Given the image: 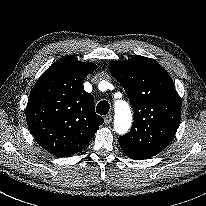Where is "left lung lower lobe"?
I'll list each match as a JSON object with an SVG mask.
<instances>
[{"label": "left lung lower lobe", "instance_id": "1", "mask_svg": "<svg viewBox=\"0 0 206 206\" xmlns=\"http://www.w3.org/2000/svg\"><path fill=\"white\" fill-rule=\"evenodd\" d=\"M120 146H121L122 150L124 151V153L132 159L142 160V159H147V158L152 157V156L145 155V154H143L142 152H140L136 149H133V148H130V147H124L122 145H120Z\"/></svg>", "mask_w": 206, "mask_h": 206}]
</instances>
